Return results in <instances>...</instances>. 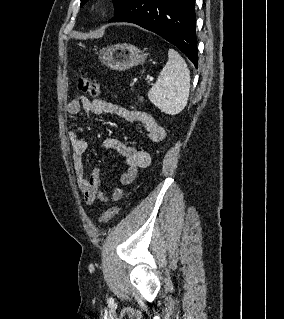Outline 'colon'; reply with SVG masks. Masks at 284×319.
<instances>
[{"instance_id": "colon-1", "label": "colon", "mask_w": 284, "mask_h": 319, "mask_svg": "<svg viewBox=\"0 0 284 319\" xmlns=\"http://www.w3.org/2000/svg\"><path fill=\"white\" fill-rule=\"evenodd\" d=\"M79 89L90 97H98L101 93V88L97 82L86 77L85 75L80 76L78 81ZM119 211L118 206H113L106 210L99 218V223H106L113 218Z\"/></svg>"}]
</instances>
